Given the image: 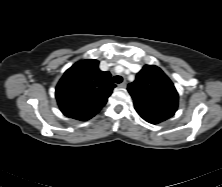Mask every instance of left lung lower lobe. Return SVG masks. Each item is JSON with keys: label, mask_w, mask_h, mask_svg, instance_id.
<instances>
[{"label": "left lung lower lobe", "mask_w": 222, "mask_h": 187, "mask_svg": "<svg viewBox=\"0 0 222 187\" xmlns=\"http://www.w3.org/2000/svg\"><path fill=\"white\" fill-rule=\"evenodd\" d=\"M137 112L145 121L151 124H158L170 118V116L165 115V114L149 113V112H144V111H137Z\"/></svg>", "instance_id": "1"}]
</instances>
